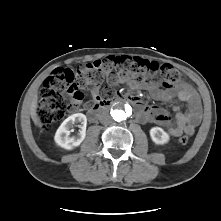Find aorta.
Here are the masks:
<instances>
[{
  "instance_id": "aorta-1",
  "label": "aorta",
  "mask_w": 221,
  "mask_h": 221,
  "mask_svg": "<svg viewBox=\"0 0 221 221\" xmlns=\"http://www.w3.org/2000/svg\"><path fill=\"white\" fill-rule=\"evenodd\" d=\"M128 114H129V111L124 109V107H117L111 111L112 118L117 122L126 120V118L128 117Z\"/></svg>"
}]
</instances>
